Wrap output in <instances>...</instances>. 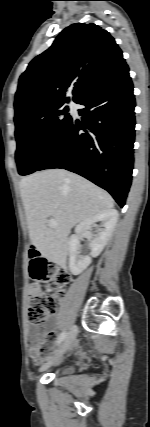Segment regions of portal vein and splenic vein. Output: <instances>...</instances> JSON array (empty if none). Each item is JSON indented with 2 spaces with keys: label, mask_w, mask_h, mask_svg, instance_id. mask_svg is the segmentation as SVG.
Masks as SVG:
<instances>
[{
  "label": "portal vein and splenic vein",
  "mask_w": 150,
  "mask_h": 427,
  "mask_svg": "<svg viewBox=\"0 0 150 427\" xmlns=\"http://www.w3.org/2000/svg\"><path fill=\"white\" fill-rule=\"evenodd\" d=\"M57 225H58V223L55 219L51 218L50 220H48V226L56 227Z\"/></svg>",
  "instance_id": "18ae733b"
}]
</instances>
